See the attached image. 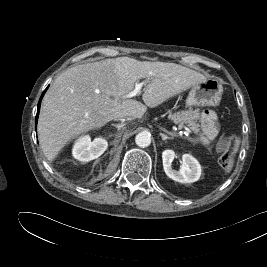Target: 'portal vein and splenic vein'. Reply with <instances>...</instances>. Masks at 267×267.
Returning <instances> with one entry per match:
<instances>
[{
  "label": "portal vein and splenic vein",
  "mask_w": 267,
  "mask_h": 267,
  "mask_svg": "<svg viewBox=\"0 0 267 267\" xmlns=\"http://www.w3.org/2000/svg\"><path fill=\"white\" fill-rule=\"evenodd\" d=\"M145 83H146V81H143V82H141V83L136 84L135 89H134L133 91L129 92L128 94H126L123 98L126 99V98H131V97L136 96V95L141 91V88H142V86H143ZM183 128H184L188 133H191V130H190L188 127H186V126L183 125Z\"/></svg>",
  "instance_id": "1"
}]
</instances>
